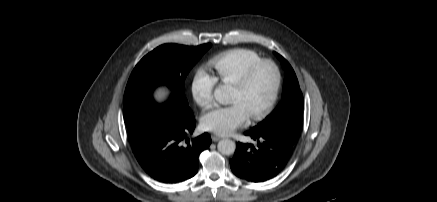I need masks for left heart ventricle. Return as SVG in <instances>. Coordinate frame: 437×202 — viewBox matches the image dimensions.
I'll return each instance as SVG.
<instances>
[{
  "label": "left heart ventricle",
  "instance_id": "left-heart-ventricle-1",
  "mask_svg": "<svg viewBox=\"0 0 437 202\" xmlns=\"http://www.w3.org/2000/svg\"><path fill=\"white\" fill-rule=\"evenodd\" d=\"M275 83V73L270 65H262L244 88L233 86L230 102H240L249 117L258 112L269 100Z\"/></svg>",
  "mask_w": 437,
  "mask_h": 202
}]
</instances>
